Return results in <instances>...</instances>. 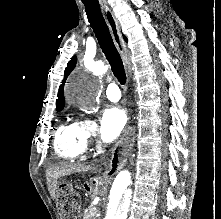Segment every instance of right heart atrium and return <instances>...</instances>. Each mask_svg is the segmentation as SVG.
I'll return each mask as SVG.
<instances>
[{"label":"right heart atrium","mask_w":221,"mask_h":219,"mask_svg":"<svg viewBox=\"0 0 221 219\" xmlns=\"http://www.w3.org/2000/svg\"><path fill=\"white\" fill-rule=\"evenodd\" d=\"M80 134L85 147L91 143L97 134V125L91 118H82L78 121Z\"/></svg>","instance_id":"d8ad5b80"}]
</instances>
